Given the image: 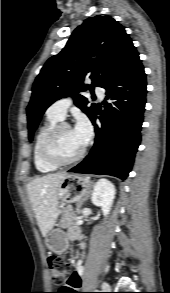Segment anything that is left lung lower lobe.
Masks as SVG:
<instances>
[{"label": "left lung lower lobe", "instance_id": "0a47b994", "mask_svg": "<svg viewBox=\"0 0 170 293\" xmlns=\"http://www.w3.org/2000/svg\"><path fill=\"white\" fill-rule=\"evenodd\" d=\"M146 85L144 67L132 46L102 86L106 89V100L112 102L104 111H96L91 120L96 133L94 146L69 172L126 179L141 141ZM96 118L101 120V127L95 124Z\"/></svg>", "mask_w": 170, "mask_h": 293}]
</instances>
